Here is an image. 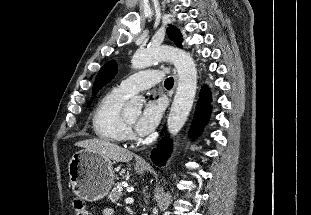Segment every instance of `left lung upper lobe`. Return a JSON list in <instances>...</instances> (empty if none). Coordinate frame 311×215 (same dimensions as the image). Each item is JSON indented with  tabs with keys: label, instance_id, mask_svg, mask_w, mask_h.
Instances as JSON below:
<instances>
[{
	"label": "left lung upper lobe",
	"instance_id": "left-lung-upper-lobe-1",
	"mask_svg": "<svg viewBox=\"0 0 311 215\" xmlns=\"http://www.w3.org/2000/svg\"><path fill=\"white\" fill-rule=\"evenodd\" d=\"M170 39L175 42L178 47H182V36L180 32L172 25L167 29ZM117 72V66L114 61H109L106 63L98 72L94 85H93V95H95L98 90L105 86L108 82L112 80Z\"/></svg>",
	"mask_w": 311,
	"mask_h": 215
}]
</instances>
